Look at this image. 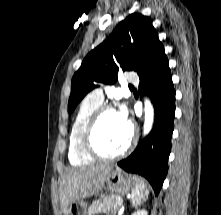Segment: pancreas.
Returning <instances> with one entry per match:
<instances>
[{
    "label": "pancreas",
    "instance_id": "cf45deb5",
    "mask_svg": "<svg viewBox=\"0 0 221 215\" xmlns=\"http://www.w3.org/2000/svg\"><path fill=\"white\" fill-rule=\"evenodd\" d=\"M118 199H120L119 196H110L94 201L89 207V215L97 213H106L109 215L117 212L121 205L118 203Z\"/></svg>",
    "mask_w": 221,
    "mask_h": 215
}]
</instances>
